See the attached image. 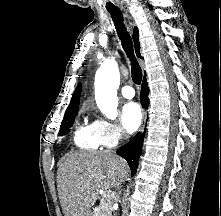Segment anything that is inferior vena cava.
<instances>
[{
	"mask_svg": "<svg viewBox=\"0 0 221 216\" xmlns=\"http://www.w3.org/2000/svg\"><path fill=\"white\" fill-rule=\"evenodd\" d=\"M106 152H107V153H112V151H111V150H107Z\"/></svg>",
	"mask_w": 221,
	"mask_h": 216,
	"instance_id": "inferior-vena-cava-1",
	"label": "inferior vena cava"
}]
</instances>
